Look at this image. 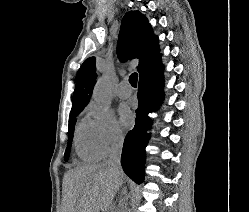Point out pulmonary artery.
<instances>
[{"instance_id":"1","label":"pulmonary artery","mask_w":249,"mask_h":212,"mask_svg":"<svg viewBox=\"0 0 249 212\" xmlns=\"http://www.w3.org/2000/svg\"><path fill=\"white\" fill-rule=\"evenodd\" d=\"M131 87L127 80H123L117 88V95L121 99H127L131 96Z\"/></svg>"}]
</instances>
